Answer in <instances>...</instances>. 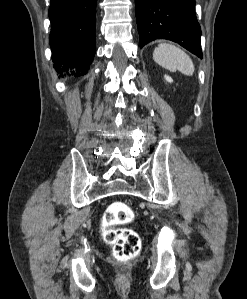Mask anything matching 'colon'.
Masks as SVG:
<instances>
[{"label": "colon", "mask_w": 247, "mask_h": 299, "mask_svg": "<svg viewBox=\"0 0 247 299\" xmlns=\"http://www.w3.org/2000/svg\"><path fill=\"white\" fill-rule=\"evenodd\" d=\"M133 220L132 208L120 201L110 204L104 214V239L112 246L114 257L122 262L134 259L140 252L141 240L138 233L124 227Z\"/></svg>", "instance_id": "obj_1"}]
</instances>
